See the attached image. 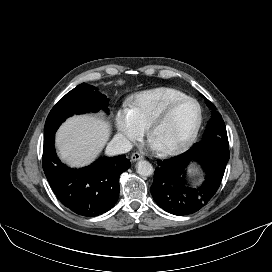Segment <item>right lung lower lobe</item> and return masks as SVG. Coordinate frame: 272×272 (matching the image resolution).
Returning a JSON list of instances; mask_svg holds the SVG:
<instances>
[{"label": "right lung lower lobe", "mask_w": 272, "mask_h": 272, "mask_svg": "<svg viewBox=\"0 0 272 272\" xmlns=\"http://www.w3.org/2000/svg\"><path fill=\"white\" fill-rule=\"evenodd\" d=\"M55 134L45 139L43 169L53 192L71 211L94 217L110 210L119 196V176L130 166L125 155L100 157L91 166L71 169L57 158Z\"/></svg>", "instance_id": "obj_1"}]
</instances>
